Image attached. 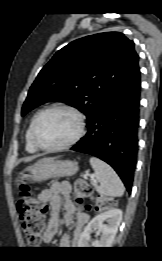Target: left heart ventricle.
<instances>
[{
  "mask_svg": "<svg viewBox=\"0 0 162 261\" xmlns=\"http://www.w3.org/2000/svg\"><path fill=\"white\" fill-rule=\"evenodd\" d=\"M77 131L74 115L64 110H54L44 114L37 127V139L44 146L65 143Z\"/></svg>",
  "mask_w": 162,
  "mask_h": 261,
  "instance_id": "left-heart-ventricle-1",
  "label": "left heart ventricle"
}]
</instances>
